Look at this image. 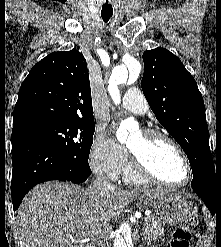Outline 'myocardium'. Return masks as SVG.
<instances>
[{
	"label": "myocardium",
	"mask_w": 221,
	"mask_h": 247,
	"mask_svg": "<svg viewBox=\"0 0 221 247\" xmlns=\"http://www.w3.org/2000/svg\"><path fill=\"white\" fill-rule=\"evenodd\" d=\"M140 132L145 137L147 144L150 146H154L159 143H165L176 149V151L180 154L184 162L187 171V179L182 183H171L161 179L151 168L146 156L134 152L132 149H130L127 146V150L130 157V163L133 169L141 177L163 186L173 187V188H182L188 186L193 180V169L186 152L180 146V144L177 141H175L172 137L155 129H143Z\"/></svg>",
	"instance_id": "f54148a6"
}]
</instances>
